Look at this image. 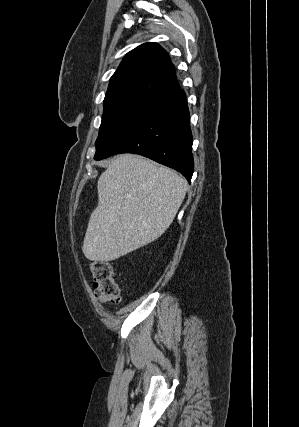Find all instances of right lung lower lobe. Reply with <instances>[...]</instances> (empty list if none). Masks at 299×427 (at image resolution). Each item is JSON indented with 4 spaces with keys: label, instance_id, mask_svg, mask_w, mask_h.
Returning a JSON list of instances; mask_svg holds the SVG:
<instances>
[{
    "label": "right lung lower lobe",
    "instance_id": "98d812e1",
    "mask_svg": "<svg viewBox=\"0 0 299 427\" xmlns=\"http://www.w3.org/2000/svg\"><path fill=\"white\" fill-rule=\"evenodd\" d=\"M137 153L179 171L190 183L194 171L187 99L177 90L157 101L113 144L96 153L100 160Z\"/></svg>",
    "mask_w": 299,
    "mask_h": 427
}]
</instances>
